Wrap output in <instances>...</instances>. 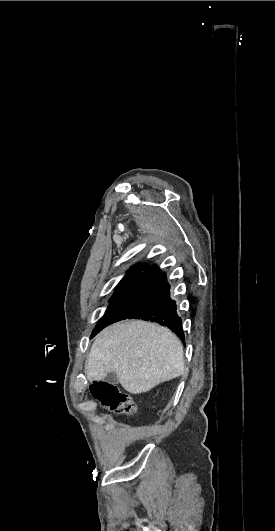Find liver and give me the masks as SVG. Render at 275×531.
<instances>
[{
    "label": "liver",
    "instance_id": "6515ba94",
    "mask_svg": "<svg viewBox=\"0 0 275 531\" xmlns=\"http://www.w3.org/2000/svg\"><path fill=\"white\" fill-rule=\"evenodd\" d=\"M182 345L166 327L147 321L110 325L96 337L86 365L88 381L115 373L125 391L147 393L184 375Z\"/></svg>",
    "mask_w": 275,
    "mask_h": 531
}]
</instances>
